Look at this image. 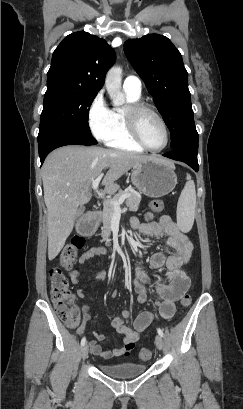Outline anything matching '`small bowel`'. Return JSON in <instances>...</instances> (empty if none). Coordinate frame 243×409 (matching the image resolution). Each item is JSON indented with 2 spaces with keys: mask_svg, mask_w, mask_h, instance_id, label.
<instances>
[{
  "mask_svg": "<svg viewBox=\"0 0 243 409\" xmlns=\"http://www.w3.org/2000/svg\"><path fill=\"white\" fill-rule=\"evenodd\" d=\"M131 226L145 237H162L164 235L167 237L165 247L168 251V255L162 252L152 254L149 259V265L153 270H158L166 266V282L160 280L155 282L156 291L161 298V301L156 302V306L162 318L170 319L175 312V302L179 300L190 287L191 280L183 270V267L189 262L192 256V243L168 214L156 217L153 213L147 212L142 222H139L136 218H132ZM105 253L106 250L103 247H92L82 253L78 262L80 265H84L89 260ZM69 276L73 285L81 284V272L79 269L71 270ZM136 276L134 287L138 293V301L144 302L148 293V276L138 264H136ZM95 279L99 282L104 281L106 279V273H97ZM84 295L85 292L83 288H78L75 292L76 298H83ZM131 316V310L124 308L121 310L120 315L112 320L114 329L124 335L121 347L103 350L97 342L92 341L89 344L91 352L103 359L129 355L134 349L135 343L140 339L141 334L154 319V315L150 311H142L134 320V328H130L128 324ZM89 322L90 317L84 309L78 332L82 333ZM95 338L98 341H102L105 339V335L95 333Z\"/></svg>",
  "mask_w": 243,
  "mask_h": 409,
  "instance_id": "1",
  "label": "small bowel"
}]
</instances>
